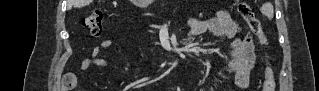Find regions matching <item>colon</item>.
<instances>
[{"label": "colon", "instance_id": "obj_1", "mask_svg": "<svg viewBox=\"0 0 319 91\" xmlns=\"http://www.w3.org/2000/svg\"><path fill=\"white\" fill-rule=\"evenodd\" d=\"M237 11L246 21L249 30L257 36L261 44H267V38L262 31L260 21L256 18L253 10L245 1H237ZM82 27L87 30L92 36H99L104 27V14L99 9H94L81 19ZM275 78L273 70L266 66L264 70V81L262 91H274Z\"/></svg>", "mask_w": 319, "mask_h": 91}]
</instances>
